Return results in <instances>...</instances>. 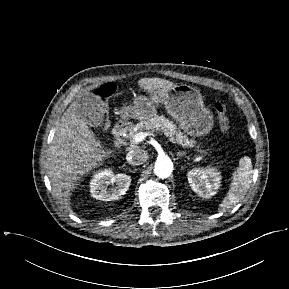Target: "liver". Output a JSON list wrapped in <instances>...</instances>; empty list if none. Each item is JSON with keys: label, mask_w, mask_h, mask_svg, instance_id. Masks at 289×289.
<instances>
[{"label": "liver", "mask_w": 289, "mask_h": 289, "mask_svg": "<svg viewBox=\"0 0 289 289\" xmlns=\"http://www.w3.org/2000/svg\"><path fill=\"white\" fill-rule=\"evenodd\" d=\"M139 86L150 95L175 84L160 78H142ZM73 102L57 124L50 146L48 175L56 197H67L78 181L110 157L113 150L104 148ZM66 200V199H65Z\"/></svg>", "instance_id": "6515ba94"}]
</instances>
